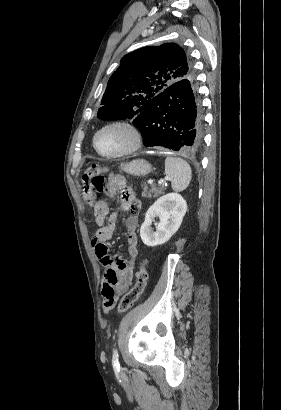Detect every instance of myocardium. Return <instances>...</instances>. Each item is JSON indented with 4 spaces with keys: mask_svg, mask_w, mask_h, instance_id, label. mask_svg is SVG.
Segmentation results:
<instances>
[{
    "mask_svg": "<svg viewBox=\"0 0 281 410\" xmlns=\"http://www.w3.org/2000/svg\"><path fill=\"white\" fill-rule=\"evenodd\" d=\"M112 128H120V129H124L125 131H127L130 136V145L128 148H126L125 150L119 153L106 154L99 150L97 146V137L102 131L107 130V129H112ZM142 142H143V136L139 128L127 120H115V121H111V122H108L102 125L95 131L93 138H92V145L96 153L100 155L101 157H104L107 159H117V158H122L128 155H131L140 149Z\"/></svg>",
    "mask_w": 281,
    "mask_h": 410,
    "instance_id": "obj_1",
    "label": "myocardium"
}]
</instances>
